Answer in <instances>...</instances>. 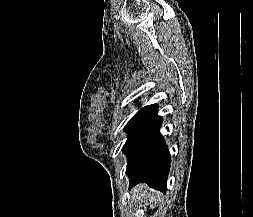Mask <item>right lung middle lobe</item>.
I'll return each instance as SVG.
<instances>
[{
  "label": "right lung middle lobe",
  "mask_w": 253,
  "mask_h": 217,
  "mask_svg": "<svg viewBox=\"0 0 253 217\" xmlns=\"http://www.w3.org/2000/svg\"><path fill=\"white\" fill-rule=\"evenodd\" d=\"M149 107L150 106H146L140 109L127 123V125L125 126V131L128 132L133 127V125L142 117V115L147 111Z\"/></svg>",
  "instance_id": "right-lung-middle-lobe-1"
}]
</instances>
